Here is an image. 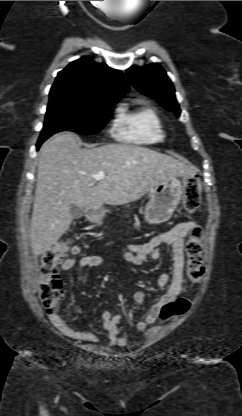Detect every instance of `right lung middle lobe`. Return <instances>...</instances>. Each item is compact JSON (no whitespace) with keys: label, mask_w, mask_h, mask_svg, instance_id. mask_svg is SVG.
I'll use <instances>...</instances> for the list:
<instances>
[{"label":"right lung middle lobe","mask_w":242,"mask_h":416,"mask_svg":"<svg viewBox=\"0 0 242 416\" xmlns=\"http://www.w3.org/2000/svg\"><path fill=\"white\" fill-rule=\"evenodd\" d=\"M116 104L105 100L50 99L39 140L64 130L95 134L108 123L111 107Z\"/></svg>","instance_id":"obj_1"}]
</instances>
